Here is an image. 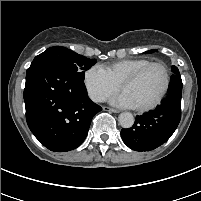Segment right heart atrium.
Here are the masks:
<instances>
[{
	"label": "right heart atrium",
	"instance_id": "d8ad5b80",
	"mask_svg": "<svg viewBox=\"0 0 201 201\" xmlns=\"http://www.w3.org/2000/svg\"><path fill=\"white\" fill-rule=\"evenodd\" d=\"M84 86L89 97L95 102H103L119 88L100 65L91 66L85 71Z\"/></svg>",
	"mask_w": 201,
	"mask_h": 201
}]
</instances>
